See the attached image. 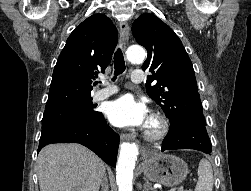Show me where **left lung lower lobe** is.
<instances>
[{"label":"left lung lower lobe","instance_id":"left-lung-lower-lobe-1","mask_svg":"<svg viewBox=\"0 0 251 191\" xmlns=\"http://www.w3.org/2000/svg\"><path fill=\"white\" fill-rule=\"evenodd\" d=\"M176 149H195L207 154L211 153L212 145L206 131V124L189 121L170 130L161 150Z\"/></svg>","mask_w":251,"mask_h":191}]
</instances>
